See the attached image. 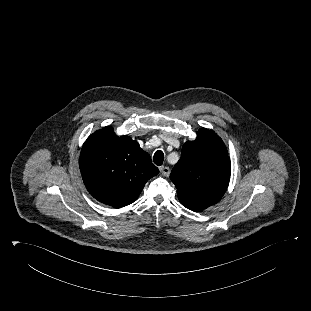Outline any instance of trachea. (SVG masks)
<instances>
[{
  "label": "trachea",
  "mask_w": 311,
  "mask_h": 311,
  "mask_svg": "<svg viewBox=\"0 0 311 311\" xmlns=\"http://www.w3.org/2000/svg\"><path fill=\"white\" fill-rule=\"evenodd\" d=\"M153 160L157 166H161L164 161V153L161 150H157L154 154Z\"/></svg>",
  "instance_id": "1"
}]
</instances>
